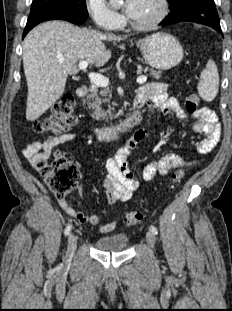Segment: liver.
<instances>
[{
	"label": "liver",
	"mask_w": 232,
	"mask_h": 311,
	"mask_svg": "<svg viewBox=\"0 0 232 311\" xmlns=\"http://www.w3.org/2000/svg\"><path fill=\"white\" fill-rule=\"evenodd\" d=\"M126 38L61 21H48L30 31L23 43L28 86L26 119H38L62 96L68 74L79 72L78 61L101 67L111 57L104 41ZM59 59H64L63 63Z\"/></svg>",
	"instance_id": "obj_1"
}]
</instances>
